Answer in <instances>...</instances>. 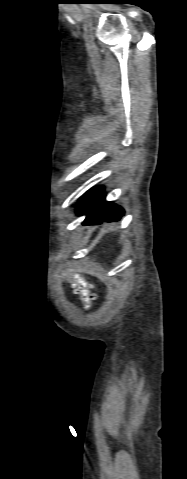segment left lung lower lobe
Segmentation results:
<instances>
[{"label":"left lung lower lobe","mask_w":187,"mask_h":479,"mask_svg":"<svg viewBox=\"0 0 187 479\" xmlns=\"http://www.w3.org/2000/svg\"><path fill=\"white\" fill-rule=\"evenodd\" d=\"M78 215H86L84 225H96L102 222L118 221L124 210L118 205L105 201L104 188L101 186L89 190L79 201Z\"/></svg>","instance_id":"left-lung-lower-lobe-1"}]
</instances>
